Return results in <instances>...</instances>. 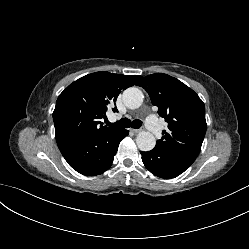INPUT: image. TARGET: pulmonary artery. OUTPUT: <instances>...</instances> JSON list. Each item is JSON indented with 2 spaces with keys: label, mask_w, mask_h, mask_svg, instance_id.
<instances>
[{
  "label": "pulmonary artery",
  "mask_w": 249,
  "mask_h": 249,
  "mask_svg": "<svg viewBox=\"0 0 249 249\" xmlns=\"http://www.w3.org/2000/svg\"><path fill=\"white\" fill-rule=\"evenodd\" d=\"M145 125L149 129V131L156 137H159L161 135V127L158 119L155 116H148L145 120Z\"/></svg>",
  "instance_id": "obj_1"
}]
</instances>
